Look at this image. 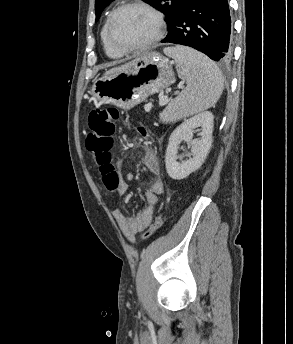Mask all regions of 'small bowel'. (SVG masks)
Listing matches in <instances>:
<instances>
[{"instance_id":"c3829d8e","label":"small bowel","mask_w":293,"mask_h":344,"mask_svg":"<svg viewBox=\"0 0 293 344\" xmlns=\"http://www.w3.org/2000/svg\"><path fill=\"white\" fill-rule=\"evenodd\" d=\"M141 163L144 167L154 176L150 188L145 192V201L147 207L134 217L124 214L121 209H116L113 212L115 221L125 237L130 241H134L135 235L146 229L152 219L154 206L158 202L159 195L163 192V183L160 179V167L158 159L154 151L145 147L142 151L138 152ZM100 173L104 184H115L116 191L119 195H126L129 191V184L120 172V164L116 166L106 165L100 167Z\"/></svg>"}]
</instances>
